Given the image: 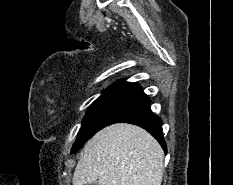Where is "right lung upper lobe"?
Returning a JSON list of instances; mask_svg holds the SVG:
<instances>
[{
    "label": "right lung upper lobe",
    "mask_w": 233,
    "mask_h": 185,
    "mask_svg": "<svg viewBox=\"0 0 233 185\" xmlns=\"http://www.w3.org/2000/svg\"><path fill=\"white\" fill-rule=\"evenodd\" d=\"M138 84L136 83H129L125 82L124 80L118 81L114 83L112 86L107 88L106 90H127V91H132L136 88H138Z\"/></svg>",
    "instance_id": "right-lung-upper-lobe-1"
}]
</instances>
